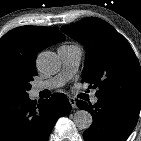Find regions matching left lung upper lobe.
<instances>
[{
    "instance_id": "obj_1",
    "label": "left lung upper lobe",
    "mask_w": 141,
    "mask_h": 141,
    "mask_svg": "<svg viewBox=\"0 0 141 141\" xmlns=\"http://www.w3.org/2000/svg\"><path fill=\"white\" fill-rule=\"evenodd\" d=\"M62 31L86 50L84 80L99 88L97 97L141 101V68L128 41L111 25L86 18Z\"/></svg>"
}]
</instances>
